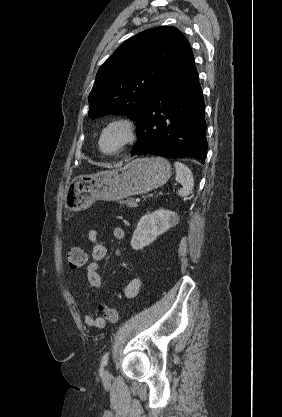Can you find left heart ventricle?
<instances>
[{
    "mask_svg": "<svg viewBox=\"0 0 282 417\" xmlns=\"http://www.w3.org/2000/svg\"><path fill=\"white\" fill-rule=\"evenodd\" d=\"M121 139V134L117 131H113L105 135L102 141V147L105 151H111L115 148Z\"/></svg>",
    "mask_w": 282,
    "mask_h": 417,
    "instance_id": "b2bd125f",
    "label": "left heart ventricle"
}]
</instances>
